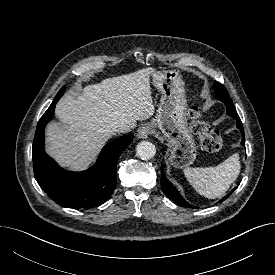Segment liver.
<instances>
[{
    "mask_svg": "<svg viewBox=\"0 0 275 275\" xmlns=\"http://www.w3.org/2000/svg\"><path fill=\"white\" fill-rule=\"evenodd\" d=\"M154 69L107 78L84 87L80 94L65 96L55 114L62 123L46 127L49 155L63 167L85 169L119 125L136 126V120L153 116L150 75Z\"/></svg>",
    "mask_w": 275,
    "mask_h": 275,
    "instance_id": "obj_1",
    "label": "liver"
}]
</instances>
